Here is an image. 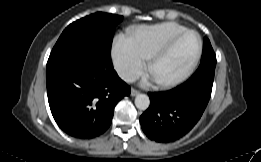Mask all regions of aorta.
Here are the masks:
<instances>
[{
    "instance_id": "762f6f07",
    "label": "aorta",
    "mask_w": 261,
    "mask_h": 162,
    "mask_svg": "<svg viewBox=\"0 0 261 162\" xmlns=\"http://www.w3.org/2000/svg\"><path fill=\"white\" fill-rule=\"evenodd\" d=\"M135 105L139 110H146L150 105V99L146 94H138L135 97Z\"/></svg>"
}]
</instances>
